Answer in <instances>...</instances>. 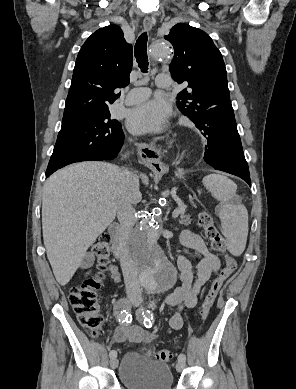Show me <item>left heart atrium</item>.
<instances>
[{
    "mask_svg": "<svg viewBox=\"0 0 296 389\" xmlns=\"http://www.w3.org/2000/svg\"><path fill=\"white\" fill-rule=\"evenodd\" d=\"M171 115V107L161 98L153 99L132 108L127 115V126L135 134L161 130Z\"/></svg>",
    "mask_w": 296,
    "mask_h": 389,
    "instance_id": "left-heart-atrium-1",
    "label": "left heart atrium"
}]
</instances>
